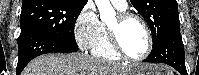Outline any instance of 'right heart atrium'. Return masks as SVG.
<instances>
[{
    "label": "right heart atrium",
    "mask_w": 199,
    "mask_h": 75,
    "mask_svg": "<svg viewBox=\"0 0 199 75\" xmlns=\"http://www.w3.org/2000/svg\"><path fill=\"white\" fill-rule=\"evenodd\" d=\"M102 34V23L93 8H83L74 24V35L79 47L92 49Z\"/></svg>",
    "instance_id": "obj_1"
}]
</instances>
